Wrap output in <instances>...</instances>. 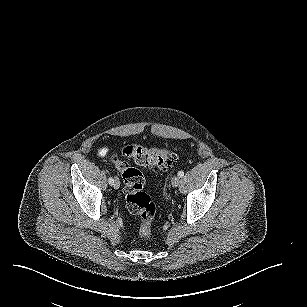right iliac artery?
<instances>
[{"instance_id":"82829eb1","label":"right iliac artery","mask_w":307,"mask_h":307,"mask_svg":"<svg viewBox=\"0 0 307 307\" xmlns=\"http://www.w3.org/2000/svg\"><path fill=\"white\" fill-rule=\"evenodd\" d=\"M108 182H109V184L113 185L114 179L110 177V178L108 179Z\"/></svg>"}]
</instances>
